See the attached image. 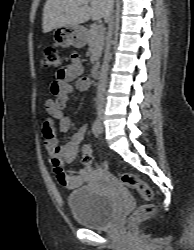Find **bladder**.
<instances>
[{
    "label": "bladder",
    "mask_w": 194,
    "mask_h": 250,
    "mask_svg": "<svg viewBox=\"0 0 194 250\" xmlns=\"http://www.w3.org/2000/svg\"><path fill=\"white\" fill-rule=\"evenodd\" d=\"M67 202L76 221L88 228H105L116 215L114 199L91 186L69 192Z\"/></svg>",
    "instance_id": "bladder-1"
}]
</instances>
